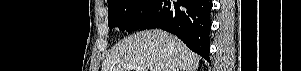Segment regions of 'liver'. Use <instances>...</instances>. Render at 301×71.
Masks as SVG:
<instances>
[{"instance_id": "1", "label": "liver", "mask_w": 301, "mask_h": 71, "mask_svg": "<svg viewBox=\"0 0 301 71\" xmlns=\"http://www.w3.org/2000/svg\"><path fill=\"white\" fill-rule=\"evenodd\" d=\"M200 56L165 31L145 30L119 42L106 57L101 71H196Z\"/></svg>"}]
</instances>
